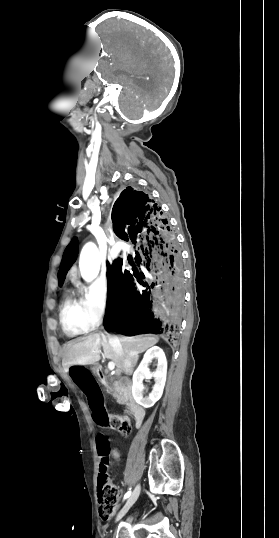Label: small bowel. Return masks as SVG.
I'll return each mask as SVG.
<instances>
[{
    "label": "small bowel",
    "instance_id": "1",
    "mask_svg": "<svg viewBox=\"0 0 279 538\" xmlns=\"http://www.w3.org/2000/svg\"><path fill=\"white\" fill-rule=\"evenodd\" d=\"M111 455L115 460H118L120 458V453L116 449L111 450Z\"/></svg>",
    "mask_w": 279,
    "mask_h": 538
}]
</instances>
